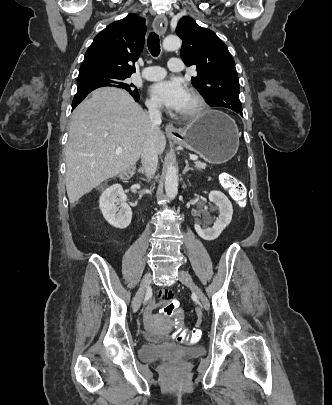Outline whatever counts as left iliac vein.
<instances>
[{
	"label": "left iliac vein",
	"mask_w": 332,
	"mask_h": 405,
	"mask_svg": "<svg viewBox=\"0 0 332 405\" xmlns=\"http://www.w3.org/2000/svg\"><path fill=\"white\" fill-rule=\"evenodd\" d=\"M178 278L181 283L188 286L194 292L204 309L209 310L210 302L202 289L195 284L192 276L185 270H179Z\"/></svg>",
	"instance_id": "4c4485c4"
}]
</instances>
